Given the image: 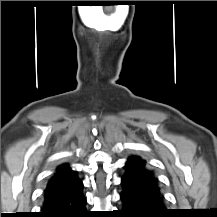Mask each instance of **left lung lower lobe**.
<instances>
[{"instance_id": "0a47b994", "label": "left lung lower lobe", "mask_w": 217, "mask_h": 217, "mask_svg": "<svg viewBox=\"0 0 217 217\" xmlns=\"http://www.w3.org/2000/svg\"><path fill=\"white\" fill-rule=\"evenodd\" d=\"M121 179L123 214L126 217H168L165 201L158 184L144 181L133 173V166L125 164Z\"/></svg>"}]
</instances>
